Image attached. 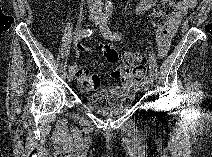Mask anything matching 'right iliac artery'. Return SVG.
I'll return each instance as SVG.
<instances>
[{
  "label": "right iliac artery",
  "mask_w": 212,
  "mask_h": 157,
  "mask_svg": "<svg viewBox=\"0 0 212 157\" xmlns=\"http://www.w3.org/2000/svg\"><path fill=\"white\" fill-rule=\"evenodd\" d=\"M92 34H93L92 29H83V30H80L79 33L77 34V39L87 38V37H90ZM70 71H74L73 66L69 67V72Z\"/></svg>",
  "instance_id": "obj_1"
}]
</instances>
